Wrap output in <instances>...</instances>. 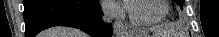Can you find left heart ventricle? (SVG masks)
Wrapping results in <instances>:
<instances>
[{
	"label": "left heart ventricle",
	"mask_w": 219,
	"mask_h": 37,
	"mask_svg": "<svg viewBox=\"0 0 219 37\" xmlns=\"http://www.w3.org/2000/svg\"><path fill=\"white\" fill-rule=\"evenodd\" d=\"M131 11L140 20L158 18L163 12L161 0H141L132 2Z\"/></svg>",
	"instance_id": "b2bd125f"
}]
</instances>
